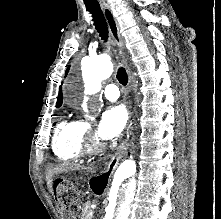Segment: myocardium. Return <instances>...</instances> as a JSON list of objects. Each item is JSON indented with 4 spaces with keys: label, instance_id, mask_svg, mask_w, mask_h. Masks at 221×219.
I'll list each match as a JSON object with an SVG mask.
<instances>
[{
    "label": "myocardium",
    "instance_id": "f54148a6",
    "mask_svg": "<svg viewBox=\"0 0 221 219\" xmlns=\"http://www.w3.org/2000/svg\"><path fill=\"white\" fill-rule=\"evenodd\" d=\"M101 144L93 138H89L85 145V152L88 154H95L101 150Z\"/></svg>",
    "mask_w": 221,
    "mask_h": 219
}]
</instances>
